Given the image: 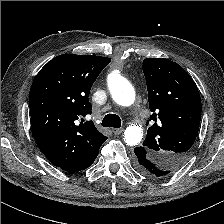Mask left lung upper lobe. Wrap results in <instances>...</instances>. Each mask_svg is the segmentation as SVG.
<instances>
[{
    "mask_svg": "<svg viewBox=\"0 0 224 224\" xmlns=\"http://www.w3.org/2000/svg\"><path fill=\"white\" fill-rule=\"evenodd\" d=\"M148 101L153 114L141 148L163 172L176 171L195 142L201 120V99L191 76L177 63L164 58L143 61ZM154 177V178H160Z\"/></svg>",
    "mask_w": 224,
    "mask_h": 224,
    "instance_id": "obj_1",
    "label": "left lung upper lobe"
}]
</instances>
